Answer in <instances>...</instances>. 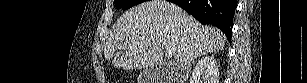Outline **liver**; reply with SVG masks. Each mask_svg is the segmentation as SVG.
I'll return each mask as SVG.
<instances>
[{"instance_id": "obj_1", "label": "liver", "mask_w": 307, "mask_h": 83, "mask_svg": "<svg viewBox=\"0 0 307 83\" xmlns=\"http://www.w3.org/2000/svg\"><path fill=\"white\" fill-rule=\"evenodd\" d=\"M225 42L220 30L202 26L179 6L165 0H151L117 19L105 42L104 56L110 60L115 52L122 50L115 67L160 69L166 51L174 49L175 65L181 68L197 57L223 49Z\"/></svg>"}]
</instances>
